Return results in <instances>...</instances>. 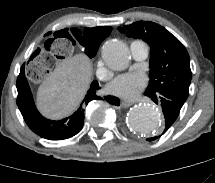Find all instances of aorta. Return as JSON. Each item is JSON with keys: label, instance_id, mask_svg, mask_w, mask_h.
<instances>
[{"label": "aorta", "instance_id": "aorta-1", "mask_svg": "<svg viewBox=\"0 0 215 183\" xmlns=\"http://www.w3.org/2000/svg\"><path fill=\"white\" fill-rule=\"evenodd\" d=\"M102 58L108 68L121 71L129 65L130 53L125 43L112 39L104 43ZM126 124L129 129L136 133L149 135L160 129L162 117L156 108L142 104L129 111Z\"/></svg>", "mask_w": 215, "mask_h": 183}]
</instances>
